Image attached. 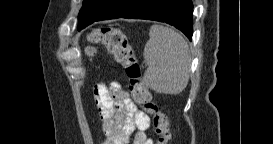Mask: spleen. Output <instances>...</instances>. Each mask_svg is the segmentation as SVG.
I'll list each match as a JSON object with an SVG mask.
<instances>
[{"instance_id":"1","label":"spleen","mask_w":273,"mask_h":144,"mask_svg":"<svg viewBox=\"0 0 273 144\" xmlns=\"http://www.w3.org/2000/svg\"><path fill=\"white\" fill-rule=\"evenodd\" d=\"M143 56L148 65L144 81L152 90L176 95L187 86L190 51L186 40L175 30L154 24L150 28Z\"/></svg>"}]
</instances>
